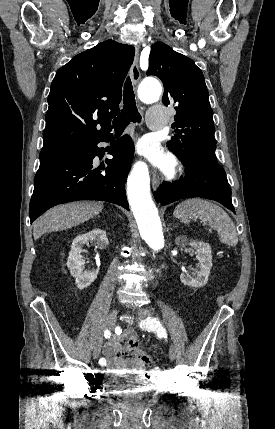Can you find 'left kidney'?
Returning <instances> with one entry per match:
<instances>
[{
    "instance_id": "obj_1",
    "label": "left kidney",
    "mask_w": 275,
    "mask_h": 429,
    "mask_svg": "<svg viewBox=\"0 0 275 429\" xmlns=\"http://www.w3.org/2000/svg\"><path fill=\"white\" fill-rule=\"evenodd\" d=\"M176 244L180 247L190 245L196 250V259L199 261L198 270L190 275L182 273L180 280L183 284L190 287H203L208 282V277L212 267L211 247L208 243L202 241H190L186 236H179L176 239Z\"/></svg>"
}]
</instances>
